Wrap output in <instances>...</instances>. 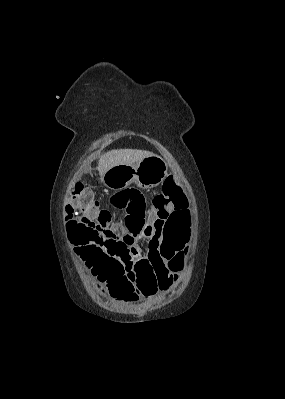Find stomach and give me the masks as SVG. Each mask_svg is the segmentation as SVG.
<instances>
[{
    "label": "stomach",
    "instance_id": "stomach-1",
    "mask_svg": "<svg viewBox=\"0 0 285 399\" xmlns=\"http://www.w3.org/2000/svg\"><path fill=\"white\" fill-rule=\"evenodd\" d=\"M168 165L160 156L151 154L133 165H116L102 176L103 184L112 190H122L131 183L142 189L158 186L167 176Z\"/></svg>",
    "mask_w": 285,
    "mask_h": 399
}]
</instances>
